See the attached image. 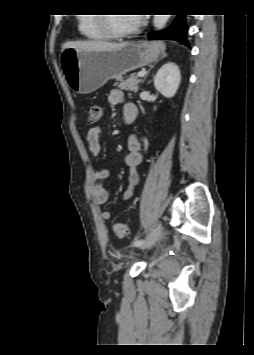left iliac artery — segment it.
<instances>
[{
    "label": "left iliac artery",
    "mask_w": 254,
    "mask_h": 355,
    "mask_svg": "<svg viewBox=\"0 0 254 355\" xmlns=\"http://www.w3.org/2000/svg\"><path fill=\"white\" fill-rule=\"evenodd\" d=\"M149 237H150V236H149ZM149 237H148V238H149ZM148 238H147V239H148ZM147 239H146V240H147ZM146 240L136 239L135 241H133V246L139 247V246H141L142 244H144Z\"/></svg>",
    "instance_id": "obj_1"
}]
</instances>
